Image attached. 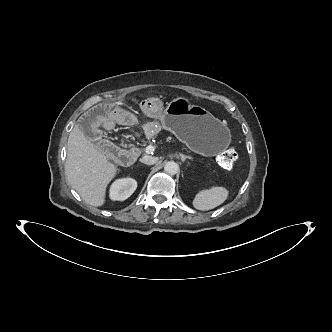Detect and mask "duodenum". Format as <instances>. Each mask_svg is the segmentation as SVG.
<instances>
[{"label": "duodenum", "instance_id": "duodenum-1", "mask_svg": "<svg viewBox=\"0 0 332 332\" xmlns=\"http://www.w3.org/2000/svg\"><path fill=\"white\" fill-rule=\"evenodd\" d=\"M120 162L124 165H129L134 161V155L128 150H122L118 153Z\"/></svg>", "mask_w": 332, "mask_h": 332}]
</instances>
